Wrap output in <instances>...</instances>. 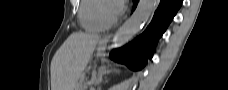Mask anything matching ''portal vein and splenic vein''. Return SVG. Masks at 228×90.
<instances>
[{"label":"portal vein and splenic vein","instance_id":"1","mask_svg":"<svg viewBox=\"0 0 228 90\" xmlns=\"http://www.w3.org/2000/svg\"><path fill=\"white\" fill-rule=\"evenodd\" d=\"M93 81H94V79H91V81L89 82V84H93Z\"/></svg>","mask_w":228,"mask_h":90}]
</instances>
